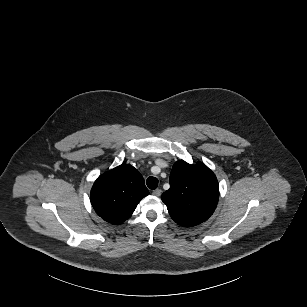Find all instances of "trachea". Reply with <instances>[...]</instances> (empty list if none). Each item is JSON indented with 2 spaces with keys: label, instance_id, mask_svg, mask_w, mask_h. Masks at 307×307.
I'll return each instance as SVG.
<instances>
[{
  "label": "trachea",
  "instance_id": "trachea-1",
  "mask_svg": "<svg viewBox=\"0 0 307 307\" xmlns=\"http://www.w3.org/2000/svg\"><path fill=\"white\" fill-rule=\"evenodd\" d=\"M146 184L150 189H156L158 186V179L150 176L149 178H147Z\"/></svg>",
  "mask_w": 307,
  "mask_h": 307
}]
</instances>
